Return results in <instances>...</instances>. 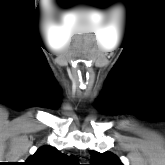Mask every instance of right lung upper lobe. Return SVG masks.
<instances>
[{
	"label": "right lung upper lobe",
	"mask_w": 165,
	"mask_h": 165,
	"mask_svg": "<svg viewBox=\"0 0 165 165\" xmlns=\"http://www.w3.org/2000/svg\"><path fill=\"white\" fill-rule=\"evenodd\" d=\"M24 165H80L74 156H67L50 146H43Z\"/></svg>",
	"instance_id": "obj_1"
}]
</instances>
